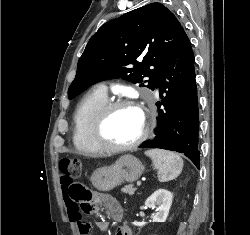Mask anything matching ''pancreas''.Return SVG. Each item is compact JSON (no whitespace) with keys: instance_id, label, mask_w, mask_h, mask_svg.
Masks as SVG:
<instances>
[{"instance_id":"pancreas-1","label":"pancreas","mask_w":250,"mask_h":235,"mask_svg":"<svg viewBox=\"0 0 250 235\" xmlns=\"http://www.w3.org/2000/svg\"><path fill=\"white\" fill-rule=\"evenodd\" d=\"M121 191L123 193L133 195L134 192L136 191V188L132 184H129V185H126L124 188H122Z\"/></svg>"}]
</instances>
